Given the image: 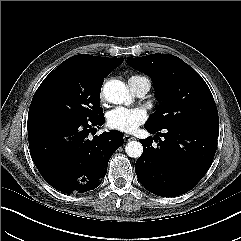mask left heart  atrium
<instances>
[{
  "label": "left heart atrium",
  "mask_w": 241,
  "mask_h": 241,
  "mask_svg": "<svg viewBox=\"0 0 241 241\" xmlns=\"http://www.w3.org/2000/svg\"><path fill=\"white\" fill-rule=\"evenodd\" d=\"M146 118V113L141 108L117 107L107 114V123L112 129L132 133Z\"/></svg>",
  "instance_id": "1"
}]
</instances>
